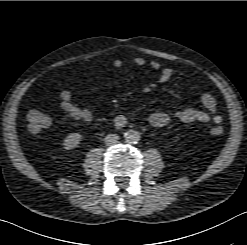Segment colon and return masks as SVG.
Returning <instances> with one entry per match:
<instances>
[{
    "mask_svg": "<svg viewBox=\"0 0 247 245\" xmlns=\"http://www.w3.org/2000/svg\"><path fill=\"white\" fill-rule=\"evenodd\" d=\"M27 122L29 131L34 134L42 132L49 126L50 123L49 118L36 109H32L27 113ZM223 131L224 128L220 124H217L211 128V133L214 135H221Z\"/></svg>",
    "mask_w": 247,
    "mask_h": 245,
    "instance_id": "obj_1",
    "label": "colon"
}]
</instances>
